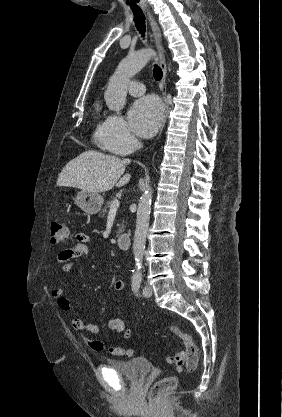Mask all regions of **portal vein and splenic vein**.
Listing matches in <instances>:
<instances>
[{
    "mask_svg": "<svg viewBox=\"0 0 282 417\" xmlns=\"http://www.w3.org/2000/svg\"><path fill=\"white\" fill-rule=\"evenodd\" d=\"M119 204H120V202H119L118 198H115V200H112V202L110 204V208L114 213H117L120 210Z\"/></svg>",
    "mask_w": 282,
    "mask_h": 417,
    "instance_id": "18ae733b",
    "label": "portal vein and splenic vein"
}]
</instances>
